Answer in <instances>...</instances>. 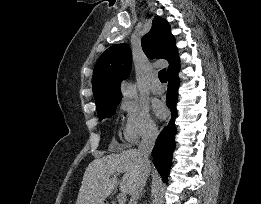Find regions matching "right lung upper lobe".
Masks as SVG:
<instances>
[{
	"instance_id": "cb5924a9",
	"label": "right lung upper lobe",
	"mask_w": 261,
	"mask_h": 204,
	"mask_svg": "<svg viewBox=\"0 0 261 204\" xmlns=\"http://www.w3.org/2000/svg\"><path fill=\"white\" fill-rule=\"evenodd\" d=\"M141 45L147 57L169 62L168 73L180 66L170 25L161 17H154L152 28L143 36ZM131 64L127 44L113 45L100 56L92 77L96 106L121 99L120 82L129 75Z\"/></svg>"
}]
</instances>
